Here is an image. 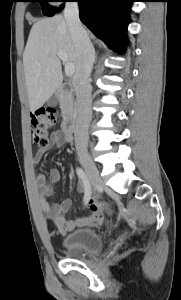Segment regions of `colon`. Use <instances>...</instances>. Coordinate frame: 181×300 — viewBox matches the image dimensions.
Listing matches in <instances>:
<instances>
[{
    "mask_svg": "<svg viewBox=\"0 0 181 300\" xmlns=\"http://www.w3.org/2000/svg\"><path fill=\"white\" fill-rule=\"evenodd\" d=\"M58 117L53 109H41L34 112L31 116V126L33 130V140L39 146L48 143L50 129L57 123ZM91 214L102 217L105 212L111 211V206L102 201L91 200L89 202Z\"/></svg>",
    "mask_w": 181,
    "mask_h": 300,
    "instance_id": "colon-1",
    "label": "colon"
}]
</instances>
